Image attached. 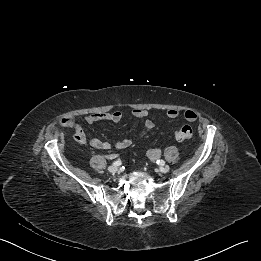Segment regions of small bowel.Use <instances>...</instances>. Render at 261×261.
<instances>
[{"mask_svg": "<svg viewBox=\"0 0 261 261\" xmlns=\"http://www.w3.org/2000/svg\"><path fill=\"white\" fill-rule=\"evenodd\" d=\"M165 115L168 118H176L180 115V111L175 108H170L165 111ZM132 116L136 119L144 121L143 130L140 132L139 136L144 137L146 134L151 132L155 124L149 118V112L145 109H134L132 111ZM183 117L189 122H193L197 119V114L192 110H186L183 112ZM123 118L121 111H109V112H96L91 113L85 117L87 124H94L99 121H110L113 123H119ZM67 127L74 130V140L82 145L88 144L95 149L108 150L111 146L110 143L103 141L99 138H89L80 124L74 120H70L67 123ZM133 141L129 138L118 141L115 144L117 149H126L132 145ZM148 155L151 158L157 157L159 152L156 150L149 151Z\"/></svg>", "mask_w": 261, "mask_h": 261, "instance_id": "1", "label": "small bowel"}]
</instances>
